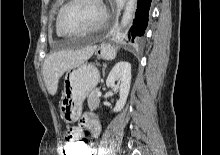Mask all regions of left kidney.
Here are the masks:
<instances>
[{"mask_svg":"<svg viewBox=\"0 0 220 155\" xmlns=\"http://www.w3.org/2000/svg\"><path fill=\"white\" fill-rule=\"evenodd\" d=\"M115 81H118L117 85L115 84ZM130 83L131 64L126 61H120L115 64L106 80V85L108 87L119 89L120 98L113 109L114 112H119L123 109L129 94Z\"/></svg>","mask_w":220,"mask_h":155,"instance_id":"obj_1","label":"left kidney"}]
</instances>
